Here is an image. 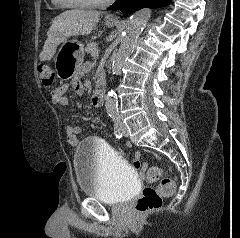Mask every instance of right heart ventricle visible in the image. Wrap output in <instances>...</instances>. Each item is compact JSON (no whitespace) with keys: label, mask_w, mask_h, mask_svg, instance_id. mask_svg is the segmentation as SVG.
<instances>
[{"label":"right heart ventricle","mask_w":240,"mask_h":238,"mask_svg":"<svg viewBox=\"0 0 240 238\" xmlns=\"http://www.w3.org/2000/svg\"><path fill=\"white\" fill-rule=\"evenodd\" d=\"M51 2L56 5V6H63V7H67L65 6L62 2H60V0H51Z\"/></svg>","instance_id":"1"}]
</instances>
